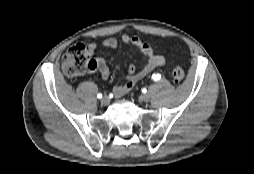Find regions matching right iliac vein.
Masks as SVG:
<instances>
[{
    "mask_svg": "<svg viewBox=\"0 0 254 174\" xmlns=\"http://www.w3.org/2000/svg\"><path fill=\"white\" fill-rule=\"evenodd\" d=\"M109 103V97L108 96H103L101 99V104L102 105H108Z\"/></svg>",
    "mask_w": 254,
    "mask_h": 174,
    "instance_id": "right-iliac-vein-1",
    "label": "right iliac vein"
}]
</instances>
